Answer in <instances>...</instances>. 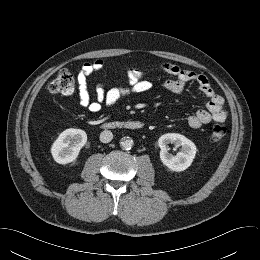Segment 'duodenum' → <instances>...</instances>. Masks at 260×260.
Here are the masks:
<instances>
[{
	"instance_id": "duodenum-1",
	"label": "duodenum",
	"mask_w": 260,
	"mask_h": 260,
	"mask_svg": "<svg viewBox=\"0 0 260 260\" xmlns=\"http://www.w3.org/2000/svg\"><path fill=\"white\" fill-rule=\"evenodd\" d=\"M104 129H131V130H141L144 127V123L141 121H110L102 124Z\"/></svg>"
}]
</instances>
